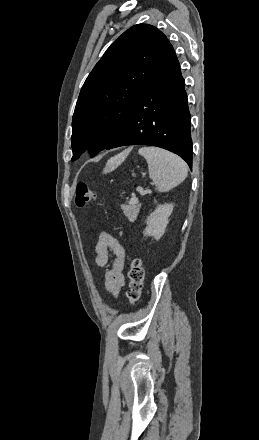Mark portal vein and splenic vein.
Instances as JSON below:
<instances>
[{
	"instance_id": "18ae733b",
	"label": "portal vein and splenic vein",
	"mask_w": 259,
	"mask_h": 440,
	"mask_svg": "<svg viewBox=\"0 0 259 440\" xmlns=\"http://www.w3.org/2000/svg\"><path fill=\"white\" fill-rule=\"evenodd\" d=\"M137 191H138L141 195H144V194H145L144 189L141 188V187L137 188ZM132 198H133V199H132L133 202H137V201H138V199H137L135 196H133Z\"/></svg>"
}]
</instances>
